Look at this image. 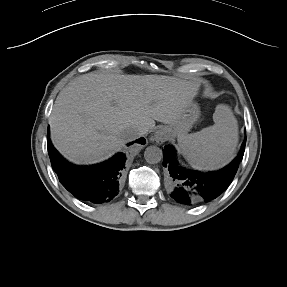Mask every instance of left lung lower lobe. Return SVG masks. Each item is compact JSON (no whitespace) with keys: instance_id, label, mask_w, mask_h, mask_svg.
I'll return each mask as SVG.
<instances>
[{"instance_id":"0a47b994","label":"left lung lower lobe","mask_w":287,"mask_h":287,"mask_svg":"<svg viewBox=\"0 0 287 287\" xmlns=\"http://www.w3.org/2000/svg\"><path fill=\"white\" fill-rule=\"evenodd\" d=\"M246 139L239 155L224 169L201 173L181 168L175 161V151L166 145L163 150V165L168 168V191L176 201L193 205L210 201L218 197L232 182L241 162ZM170 174V175H169Z\"/></svg>"}]
</instances>
